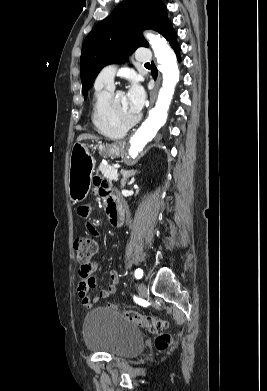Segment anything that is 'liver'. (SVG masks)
Instances as JSON below:
<instances>
[{
    "instance_id": "6515ba94",
    "label": "liver",
    "mask_w": 267,
    "mask_h": 391,
    "mask_svg": "<svg viewBox=\"0 0 267 391\" xmlns=\"http://www.w3.org/2000/svg\"><path fill=\"white\" fill-rule=\"evenodd\" d=\"M87 139H96L95 136L91 135V134H81L80 136H78L77 138V142H80L82 140H87Z\"/></svg>"
}]
</instances>
